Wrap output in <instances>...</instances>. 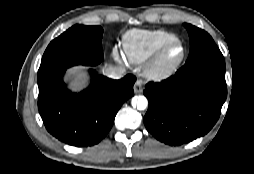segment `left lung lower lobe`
<instances>
[{"label": "left lung lower lobe", "mask_w": 254, "mask_h": 174, "mask_svg": "<svg viewBox=\"0 0 254 174\" xmlns=\"http://www.w3.org/2000/svg\"><path fill=\"white\" fill-rule=\"evenodd\" d=\"M144 95L149 108L147 130L168 145H182L207 134L217 122L227 97L225 68L181 67L160 83L150 82Z\"/></svg>", "instance_id": "0a47b994"}]
</instances>
